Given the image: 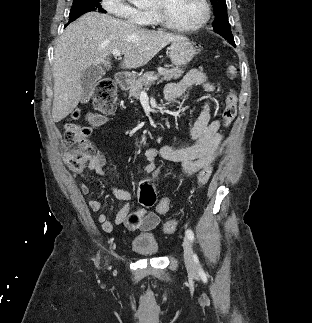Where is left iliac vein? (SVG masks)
I'll return each mask as SVG.
<instances>
[{"instance_id":"obj_1","label":"left iliac vein","mask_w":312,"mask_h":323,"mask_svg":"<svg viewBox=\"0 0 312 323\" xmlns=\"http://www.w3.org/2000/svg\"><path fill=\"white\" fill-rule=\"evenodd\" d=\"M183 248H184V259L186 263V268L188 270L195 271L196 266H195L193 248L188 237H184Z\"/></svg>"}]
</instances>
